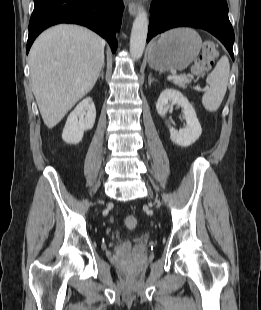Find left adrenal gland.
<instances>
[{
	"mask_svg": "<svg viewBox=\"0 0 261 310\" xmlns=\"http://www.w3.org/2000/svg\"><path fill=\"white\" fill-rule=\"evenodd\" d=\"M153 81H157V80H155L154 78H152V75L149 74V76H148V84L151 85V83H152Z\"/></svg>",
	"mask_w": 261,
	"mask_h": 310,
	"instance_id": "obj_1",
	"label": "left adrenal gland"
}]
</instances>
